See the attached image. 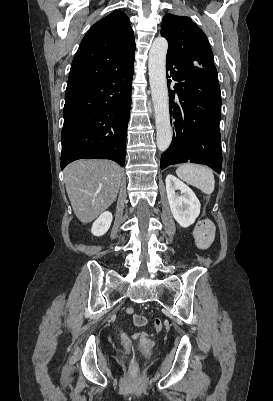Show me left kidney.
Masks as SVG:
<instances>
[{"label": "left kidney", "instance_id": "obj_1", "mask_svg": "<svg viewBox=\"0 0 273 401\" xmlns=\"http://www.w3.org/2000/svg\"><path fill=\"white\" fill-rule=\"evenodd\" d=\"M165 182L168 203L175 221L181 227H190L195 223L201 207L195 192L173 174H167ZM175 190H180V196Z\"/></svg>", "mask_w": 273, "mask_h": 401}]
</instances>
